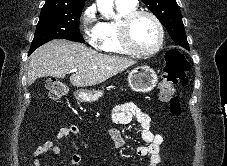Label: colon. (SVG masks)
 <instances>
[{"label":"colon","instance_id":"5ec220e1","mask_svg":"<svg viewBox=\"0 0 227 166\" xmlns=\"http://www.w3.org/2000/svg\"><path fill=\"white\" fill-rule=\"evenodd\" d=\"M188 63L181 51L172 49L166 55V62L163 71L162 81L159 85V97L162 101L170 104V112L173 115H180L181 107L178 98L175 96V86L185 82ZM50 98L54 101L61 99L66 94V87L56 79L47 81Z\"/></svg>","mask_w":227,"mask_h":166}]
</instances>
